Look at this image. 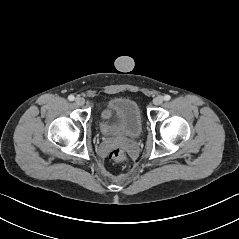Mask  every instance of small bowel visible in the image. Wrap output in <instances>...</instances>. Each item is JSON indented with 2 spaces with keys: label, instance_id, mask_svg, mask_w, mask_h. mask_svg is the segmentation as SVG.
I'll return each mask as SVG.
<instances>
[{
  "label": "small bowel",
  "instance_id": "obj_1",
  "mask_svg": "<svg viewBox=\"0 0 239 239\" xmlns=\"http://www.w3.org/2000/svg\"><path fill=\"white\" fill-rule=\"evenodd\" d=\"M106 117H107V118H109V117H110V114H109V113H107V114H106Z\"/></svg>",
  "mask_w": 239,
  "mask_h": 239
}]
</instances>
